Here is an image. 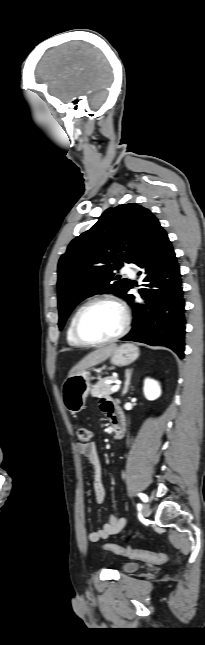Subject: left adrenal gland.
<instances>
[{
	"mask_svg": "<svg viewBox=\"0 0 205 645\" xmlns=\"http://www.w3.org/2000/svg\"><path fill=\"white\" fill-rule=\"evenodd\" d=\"M131 375H132V370L127 369L125 371L126 380H125V385H124V389H123V392H122V396H124L128 392V389H129V386H130Z\"/></svg>",
	"mask_w": 205,
	"mask_h": 645,
	"instance_id": "obj_1",
	"label": "left adrenal gland"
}]
</instances>
